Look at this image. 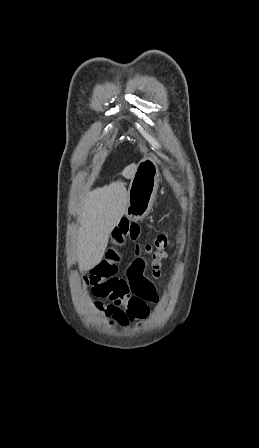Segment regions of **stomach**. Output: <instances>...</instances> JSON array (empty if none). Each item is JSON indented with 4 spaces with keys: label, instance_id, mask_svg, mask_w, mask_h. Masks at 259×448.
Masks as SVG:
<instances>
[{
    "label": "stomach",
    "instance_id": "1",
    "mask_svg": "<svg viewBox=\"0 0 259 448\" xmlns=\"http://www.w3.org/2000/svg\"><path fill=\"white\" fill-rule=\"evenodd\" d=\"M158 182L159 170L154 158H142L128 188L126 216L129 220L137 222L149 214L157 194Z\"/></svg>",
    "mask_w": 259,
    "mask_h": 448
}]
</instances>
